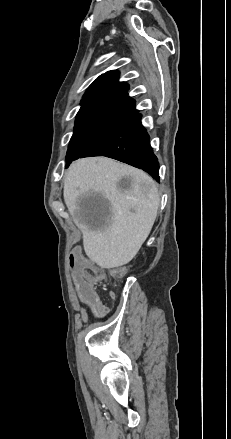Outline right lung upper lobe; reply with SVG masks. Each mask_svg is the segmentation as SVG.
<instances>
[{
    "label": "right lung upper lobe",
    "mask_w": 231,
    "mask_h": 439,
    "mask_svg": "<svg viewBox=\"0 0 231 439\" xmlns=\"http://www.w3.org/2000/svg\"><path fill=\"white\" fill-rule=\"evenodd\" d=\"M118 71L100 75L87 89L78 117L102 116L123 121L135 115V100L128 96L129 85L118 81Z\"/></svg>",
    "instance_id": "right-lung-upper-lobe-1"
}]
</instances>
